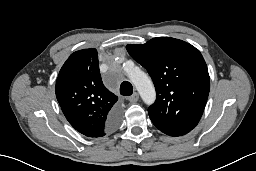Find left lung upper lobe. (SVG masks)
<instances>
[{"label": "left lung upper lobe", "instance_id": "1", "mask_svg": "<svg viewBox=\"0 0 256 171\" xmlns=\"http://www.w3.org/2000/svg\"><path fill=\"white\" fill-rule=\"evenodd\" d=\"M126 48L155 85L157 99L148 109L153 124L174 137L190 132L202 116L210 90L208 69L199 50L171 37Z\"/></svg>", "mask_w": 256, "mask_h": 171}]
</instances>
